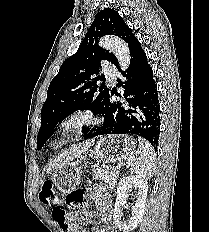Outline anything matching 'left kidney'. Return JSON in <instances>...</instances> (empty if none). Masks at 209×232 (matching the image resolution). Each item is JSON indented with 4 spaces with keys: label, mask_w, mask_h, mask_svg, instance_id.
<instances>
[{
    "label": "left kidney",
    "mask_w": 209,
    "mask_h": 232,
    "mask_svg": "<svg viewBox=\"0 0 209 232\" xmlns=\"http://www.w3.org/2000/svg\"><path fill=\"white\" fill-rule=\"evenodd\" d=\"M132 187L138 189L135 204L132 207V216L128 221H122L120 206L127 198V190ZM147 190L148 183L144 175H130L120 180L113 214L115 226L118 227L119 230L129 232L135 229L141 222L144 215Z\"/></svg>",
    "instance_id": "5707ae66"
}]
</instances>
